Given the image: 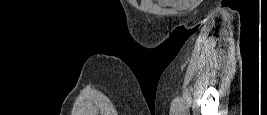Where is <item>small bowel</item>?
Returning a JSON list of instances; mask_svg holds the SVG:
<instances>
[{
    "mask_svg": "<svg viewBox=\"0 0 267 115\" xmlns=\"http://www.w3.org/2000/svg\"><path fill=\"white\" fill-rule=\"evenodd\" d=\"M159 3L164 6L188 8V7H194L198 3V1L197 0H163V1H159Z\"/></svg>",
    "mask_w": 267,
    "mask_h": 115,
    "instance_id": "small-bowel-1",
    "label": "small bowel"
}]
</instances>
